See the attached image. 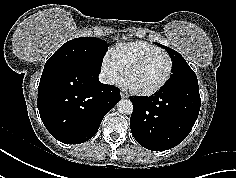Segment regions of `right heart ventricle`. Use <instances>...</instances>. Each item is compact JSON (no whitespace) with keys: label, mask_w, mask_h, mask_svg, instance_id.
<instances>
[{"label":"right heart ventricle","mask_w":236,"mask_h":178,"mask_svg":"<svg viewBox=\"0 0 236 178\" xmlns=\"http://www.w3.org/2000/svg\"><path fill=\"white\" fill-rule=\"evenodd\" d=\"M158 51L162 50L157 46L143 41H133L116 45L111 49L109 56L122 72L136 58Z\"/></svg>","instance_id":"right-heart-ventricle-1"}]
</instances>
